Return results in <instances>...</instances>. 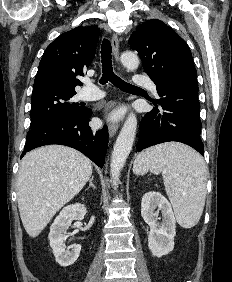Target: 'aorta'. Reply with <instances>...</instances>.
<instances>
[{
    "instance_id": "aorta-1",
    "label": "aorta",
    "mask_w": 232,
    "mask_h": 282,
    "mask_svg": "<svg viewBox=\"0 0 232 282\" xmlns=\"http://www.w3.org/2000/svg\"><path fill=\"white\" fill-rule=\"evenodd\" d=\"M120 59L122 64L128 70H135L139 66L138 56L132 51L123 52ZM136 129V115L134 113H130L117 137L111 156L110 173L114 187L118 185L121 170L132 150Z\"/></svg>"
}]
</instances>
